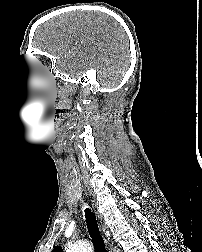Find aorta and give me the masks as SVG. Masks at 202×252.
<instances>
[{"instance_id": "1", "label": "aorta", "mask_w": 202, "mask_h": 252, "mask_svg": "<svg viewBox=\"0 0 202 252\" xmlns=\"http://www.w3.org/2000/svg\"><path fill=\"white\" fill-rule=\"evenodd\" d=\"M66 252H92V247L89 243L69 244Z\"/></svg>"}]
</instances>
